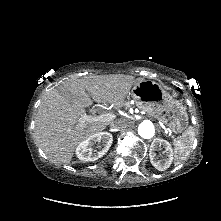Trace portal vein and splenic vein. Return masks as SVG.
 I'll list each match as a JSON object with an SVG mask.
<instances>
[{
	"instance_id": "1",
	"label": "portal vein and splenic vein",
	"mask_w": 221,
	"mask_h": 221,
	"mask_svg": "<svg viewBox=\"0 0 221 221\" xmlns=\"http://www.w3.org/2000/svg\"><path fill=\"white\" fill-rule=\"evenodd\" d=\"M116 117L113 113L101 114L98 116H89L87 114L81 115V121H112ZM173 138V136H171Z\"/></svg>"
}]
</instances>
